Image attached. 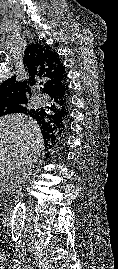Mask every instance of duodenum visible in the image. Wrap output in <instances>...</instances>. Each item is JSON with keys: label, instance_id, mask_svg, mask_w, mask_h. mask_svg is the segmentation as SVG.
<instances>
[{"label": "duodenum", "instance_id": "1", "mask_svg": "<svg viewBox=\"0 0 118 269\" xmlns=\"http://www.w3.org/2000/svg\"><path fill=\"white\" fill-rule=\"evenodd\" d=\"M2 223L6 228H9L12 224V214L10 212H7L3 217H2Z\"/></svg>", "mask_w": 118, "mask_h": 269}]
</instances>
